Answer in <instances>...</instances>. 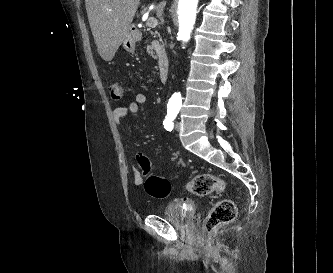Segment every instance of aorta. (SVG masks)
<instances>
[{"label":"aorta","mask_w":333,"mask_h":273,"mask_svg":"<svg viewBox=\"0 0 333 273\" xmlns=\"http://www.w3.org/2000/svg\"><path fill=\"white\" fill-rule=\"evenodd\" d=\"M198 1L199 0H179L178 2V38L183 43L188 42L190 39L196 20ZM170 102L174 105H179L181 103V95L175 93L171 97Z\"/></svg>","instance_id":"aorta-1"}]
</instances>
